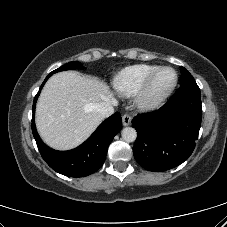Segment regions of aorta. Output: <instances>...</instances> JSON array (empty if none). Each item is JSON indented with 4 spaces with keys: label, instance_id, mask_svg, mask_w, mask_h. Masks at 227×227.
Returning a JSON list of instances; mask_svg holds the SVG:
<instances>
[{
    "label": "aorta",
    "instance_id": "obj_1",
    "mask_svg": "<svg viewBox=\"0 0 227 227\" xmlns=\"http://www.w3.org/2000/svg\"><path fill=\"white\" fill-rule=\"evenodd\" d=\"M122 138L126 142H134L137 137V132L134 128L132 127H125L122 130Z\"/></svg>",
    "mask_w": 227,
    "mask_h": 227
}]
</instances>
